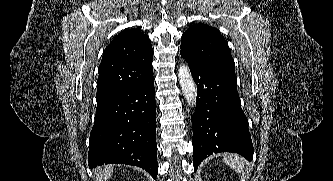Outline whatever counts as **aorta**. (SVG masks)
I'll list each match as a JSON object with an SVG mask.
<instances>
[{"label": "aorta", "mask_w": 333, "mask_h": 181, "mask_svg": "<svg viewBox=\"0 0 333 181\" xmlns=\"http://www.w3.org/2000/svg\"><path fill=\"white\" fill-rule=\"evenodd\" d=\"M178 78L186 102L190 106L196 104V85L187 65L182 64L178 69Z\"/></svg>", "instance_id": "1"}]
</instances>
